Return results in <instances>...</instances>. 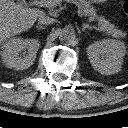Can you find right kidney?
I'll return each instance as SVG.
<instances>
[{"label": "right kidney", "instance_id": "obj_1", "mask_svg": "<svg viewBox=\"0 0 128 128\" xmlns=\"http://www.w3.org/2000/svg\"><path fill=\"white\" fill-rule=\"evenodd\" d=\"M39 46L40 42L36 39L13 37L2 44L0 55L8 68L24 70L35 61Z\"/></svg>", "mask_w": 128, "mask_h": 128}]
</instances>
